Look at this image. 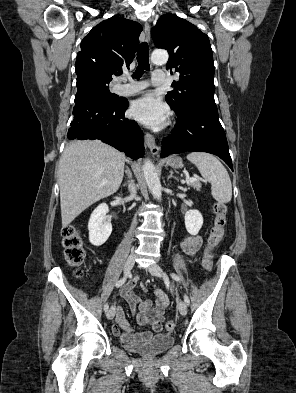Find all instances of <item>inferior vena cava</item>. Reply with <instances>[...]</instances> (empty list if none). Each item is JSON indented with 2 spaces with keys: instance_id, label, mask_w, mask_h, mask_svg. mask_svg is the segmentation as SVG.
<instances>
[{
  "instance_id": "obj_1",
  "label": "inferior vena cava",
  "mask_w": 296,
  "mask_h": 393,
  "mask_svg": "<svg viewBox=\"0 0 296 393\" xmlns=\"http://www.w3.org/2000/svg\"><path fill=\"white\" fill-rule=\"evenodd\" d=\"M128 189L130 191V197L134 198L135 194H136V187H135L134 181H131V183L128 186Z\"/></svg>"
}]
</instances>
